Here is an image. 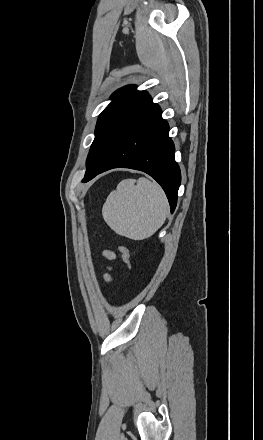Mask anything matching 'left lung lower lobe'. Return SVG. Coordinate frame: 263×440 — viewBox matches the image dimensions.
I'll return each instance as SVG.
<instances>
[{
    "label": "left lung lower lobe",
    "instance_id": "obj_1",
    "mask_svg": "<svg viewBox=\"0 0 263 440\" xmlns=\"http://www.w3.org/2000/svg\"><path fill=\"white\" fill-rule=\"evenodd\" d=\"M161 113L160 107L150 99L134 116L105 166L85 177L82 182L113 168L140 170L161 185L173 212L181 173L174 159V144L168 136L169 126Z\"/></svg>",
    "mask_w": 263,
    "mask_h": 440
}]
</instances>
